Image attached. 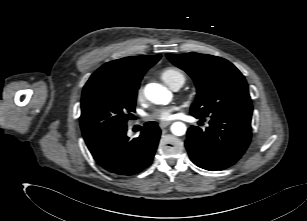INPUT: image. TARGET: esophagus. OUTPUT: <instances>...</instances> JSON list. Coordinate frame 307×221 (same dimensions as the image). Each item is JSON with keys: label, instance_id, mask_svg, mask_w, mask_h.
I'll use <instances>...</instances> for the list:
<instances>
[{"label": "esophagus", "instance_id": "34e87169", "mask_svg": "<svg viewBox=\"0 0 307 221\" xmlns=\"http://www.w3.org/2000/svg\"><path fill=\"white\" fill-rule=\"evenodd\" d=\"M171 124V121H168V122H161L160 124H159V126H160V128L161 129H164V128H166L168 125H170Z\"/></svg>", "mask_w": 307, "mask_h": 221}]
</instances>
